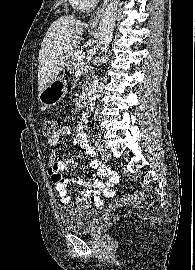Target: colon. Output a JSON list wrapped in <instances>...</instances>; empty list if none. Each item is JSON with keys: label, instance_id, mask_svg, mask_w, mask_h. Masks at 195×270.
Here are the masks:
<instances>
[{"label": "colon", "instance_id": "1", "mask_svg": "<svg viewBox=\"0 0 195 270\" xmlns=\"http://www.w3.org/2000/svg\"><path fill=\"white\" fill-rule=\"evenodd\" d=\"M41 132L45 137H51L55 132V126L52 120L48 118H43L39 121ZM143 199V194L141 192H136L132 195L122 197L116 201V205L125 206L141 202Z\"/></svg>", "mask_w": 195, "mask_h": 270}]
</instances>
